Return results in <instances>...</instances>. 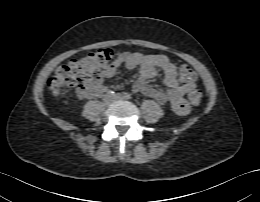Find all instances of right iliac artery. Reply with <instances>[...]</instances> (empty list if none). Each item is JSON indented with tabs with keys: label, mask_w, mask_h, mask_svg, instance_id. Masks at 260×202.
<instances>
[{
	"label": "right iliac artery",
	"mask_w": 260,
	"mask_h": 202,
	"mask_svg": "<svg viewBox=\"0 0 260 202\" xmlns=\"http://www.w3.org/2000/svg\"><path fill=\"white\" fill-rule=\"evenodd\" d=\"M108 96H113L114 94H115V92L114 91H108Z\"/></svg>",
	"instance_id": "1"
}]
</instances>
